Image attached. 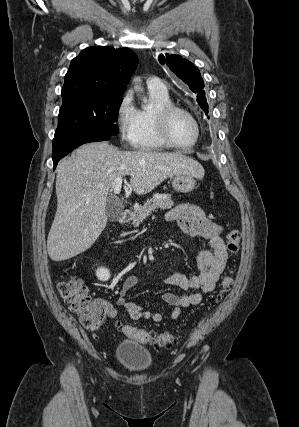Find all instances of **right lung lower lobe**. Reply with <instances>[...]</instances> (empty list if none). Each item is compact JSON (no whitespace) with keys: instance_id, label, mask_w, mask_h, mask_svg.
Wrapping results in <instances>:
<instances>
[{"instance_id":"1","label":"right lung lower lobe","mask_w":299,"mask_h":427,"mask_svg":"<svg viewBox=\"0 0 299 427\" xmlns=\"http://www.w3.org/2000/svg\"><path fill=\"white\" fill-rule=\"evenodd\" d=\"M109 137H78L74 139H70L64 142H61L55 146H53L52 159L54 163V169L57 166V163L66 156L69 152H71L76 147L89 143V142H97V141H105L108 140Z\"/></svg>"}]
</instances>
